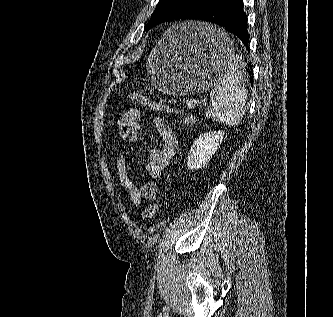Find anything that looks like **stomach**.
<instances>
[{
    "instance_id": "obj_1",
    "label": "stomach",
    "mask_w": 333,
    "mask_h": 317,
    "mask_svg": "<svg viewBox=\"0 0 333 317\" xmlns=\"http://www.w3.org/2000/svg\"><path fill=\"white\" fill-rule=\"evenodd\" d=\"M219 24L190 22L168 29L147 57L152 84L162 95H207L225 69L242 62L234 41Z\"/></svg>"
}]
</instances>
